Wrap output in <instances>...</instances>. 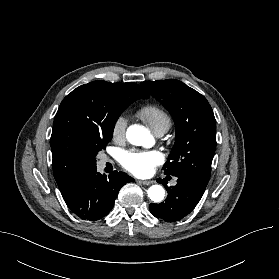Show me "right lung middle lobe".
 I'll return each instance as SVG.
<instances>
[{
	"instance_id": "dd1d6c3e",
	"label": "right lung middle lobe",
	"mask_w": 279,
	"mask_h": 279,
	"mask_svg": "<svg viewBox=\"0 0 279 279\" xmlns=\"http://www.w3.org/2000/svg\"><path fill=\"white\" fill-rule=\"evenodd\" d=\"M132 103V101L117 100L110 106L108 122L101 132L90 135L84 142L85 167L96 166L97 153L105 149L107 143L111 140L113 129L118 117Z\"/></svg>"
}]
</instances>
